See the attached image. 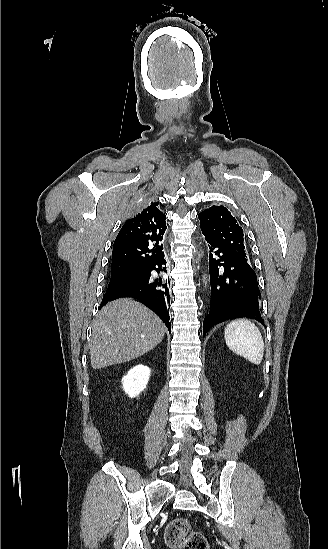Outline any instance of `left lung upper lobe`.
<instances>
[{"label":"left lung upper lobe","instance_id":"1","mask_svg":"<svg viewBox=\"0 0 328 549\" xmlns=\"http://www.w3.org/2000/svg\"><path fill=\"white\" fill-rule=\"evenodd\" d=\"M198 218L207 242L247 262L243 230L227 208L213 205L202 211Z\"/></svg>","mask_w":328,"mask_h":549}]
</instances>
